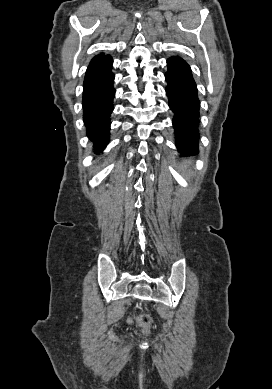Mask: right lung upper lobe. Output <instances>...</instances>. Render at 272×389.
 I'll return each mask as SVG.
<instances>
[{"instance_id": "1", "label": "right lung upper lobe", "mask_w": 272, "mask_h": 389, "mask_svg": "<svg viewBox=\"0 0 272 389\" xmlns=\"http://www.w3.org/2000/svg\"><path fill=\"white\" fill-rule=\"evenodd\" d=\"M106 56H108V55L99 54V55L95 56V57L91 60V62L97 61V60L102 59V58H104V57H106Z\"/></svg>"}]
</instances>
